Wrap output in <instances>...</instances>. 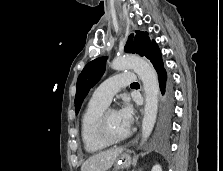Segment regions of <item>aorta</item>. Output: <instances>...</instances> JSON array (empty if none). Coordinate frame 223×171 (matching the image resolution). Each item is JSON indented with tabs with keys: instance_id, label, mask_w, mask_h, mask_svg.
Instances as JSON below:
<instances>
[{
	"instance_id": "aorta-1",
	"label": "aorta",
	"mask_w": 223,
	"mask_h": 171,
	"mask_svg": "<svg viewBox=\"0 0 223 171\" xmlns=\"http://www.w3.org/2000/svg\"><path fill=\"white\" fill-rule=\"evenodd\" d=\"M114 70L132 69L143 83L145 92L144 116L142 120V139L150 136L157 117L159 82L157 73L150 62L137 56H122L111 63Z\"/></svg>"
}]
</instances>
